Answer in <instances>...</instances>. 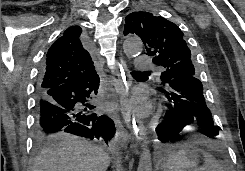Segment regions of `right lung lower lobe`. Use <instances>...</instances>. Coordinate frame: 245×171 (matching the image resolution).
Wrapping results in <instances>:
<instances>
[{"mask_svg": "<svg viewBox=\"0 0 245 171\" xmlns=\"http://www.w3.org/2000/svg\"><path fill=\"white\" fill-rule=\"evenodd\" d=\"M98 86L99 77L37 89L36 138L65 131L107 143L115 133L114 123L98 110L95 103Z\"/></svg>", "mask_w": 245, "mask_h": 171, "instance_id": "1", "label": "right lung lower lobe"}]
</instances>
